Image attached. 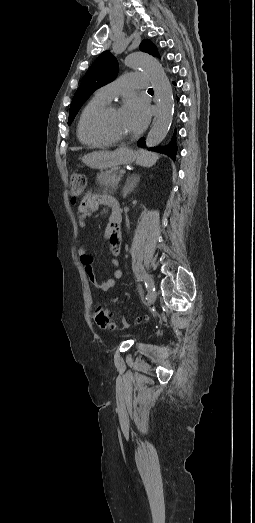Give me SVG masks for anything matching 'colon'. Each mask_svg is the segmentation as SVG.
<instances>
[{
	"mask_svg": "<svg viewBox=\"0 0 255 523\" xmlns=\"http://www.w3.org/2000/svg\"><path fill=\"white\" fill-rule=\"evenodd\" d=\"M86 181L82 174H73L71 177L70 184V195L72 201L75 203L79 198H82L85 191ZM86 198L83 197L82 201ZM94 319L96 324L101 329H113L115 328V322L113 321L109 312L102 308L97 307L94 312Z\"/></svg>",
	"mask_w": 255,
	"mask_h": 523,
	"instance_id": "5ec220e1",
	"label": "colon"
}]
</instances>
